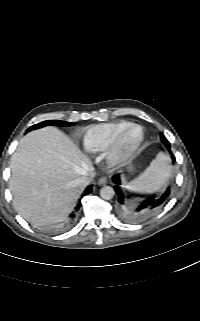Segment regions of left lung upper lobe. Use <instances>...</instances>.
I'll return each instance as SVG.
<instances>
[{
  "label": "left lung upper lobe",
  "mask_w": 200,
  "mask_h": 321,
  "mask_svg": "<svg viewBox=\"0 0 200 321\" xmlns=\"http://www.w3.org/2000/svg\"><path fill=\"white\" fill-rule=\"evenodd\" d=\"M161 139H162L163 143H164L165 145H167V139H166L163 135H161Z\"/></svg>",
  "instance_id": "1"
}]
</instances>
